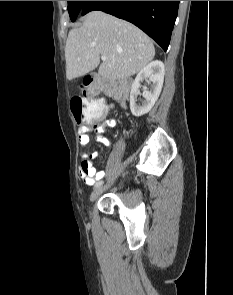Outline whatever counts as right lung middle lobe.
Instances as JSON below:
<instances>
[{
	"mask_svg": "<svg viewBox=\"0 0 233 295\" xmlns=\"http://www.w3.org/2000/svg\"><path fill=\"white\" fill-rule=\"evenodd\" d=\"M86 1H68V12L70 15V19L74 22L81 12Z\"/></svg>",
	"mask_w": 233,
	"mask_h": 295,
	"instance_id": "right-lung-middle-lobe-1",
	"label": "right lung middle lobe"
}]
</instances>
